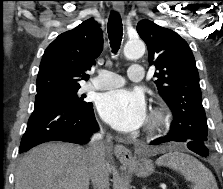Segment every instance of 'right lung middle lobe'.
Returning <instances> with one entry per match:
<instances>
[{
    "label": "right lung middle lobe",
    "mask_w": 223,
    "mask_h": 189,
    "mask_svg": "<svg viewBox=\"0 0 223 189\" xmlns=\"http://www.w3.org/2000/svg\"><path fill=\"white\" fill-rule=\"evenodd\" d=\"M79 88L80 87L49 89L37 92L35 99L36 101L61 103L75 109L84 110L91 106L92 103L85 102L83 97L78 95L77 92Z\"/></svg>",
    "instance_id": "right-lung-middle-lobe-1"
}]
</instances>
